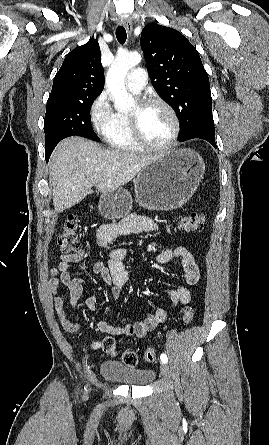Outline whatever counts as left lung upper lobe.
Segmentation results:
<instances>
[{"label": "left lung upper lobe", "instance_id": "1", "mask_svg": "<svg viewBox=\"0 0 269 445\" xmlns=\"http://www.w3.org/2000/svg\"><path fill=\"white\" fill-rule=\"evenodd\" d=\"M152 85L175 110L180 141L215 135L209 78L196 48L179 31L156 23L141 33Z\"/></svg>", "mask_w": 269, "mask_h": 445}]
</instances>
